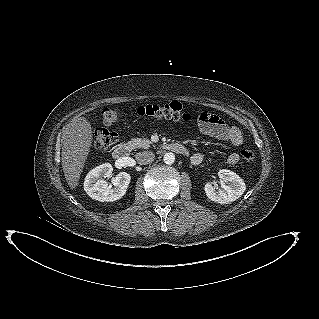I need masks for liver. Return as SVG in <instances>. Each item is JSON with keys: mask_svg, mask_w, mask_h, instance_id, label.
Masks as SVG:
<instances>
[{"mask_svg": "<svg viewBox=\"0 0 319 319\" xmlns=\"http://www.w3.org/2000/svg\"><path fill=\"white\" fill-rule=\"evenodd\" d=\"M93 140L91 124L85 117L73 120L62 135V168L68 185H78Z\"/></svg>", "mask_w": 319, "mask_h": 319, "instance_id": "6515ba94", "label": "liver"}]
</instances>
